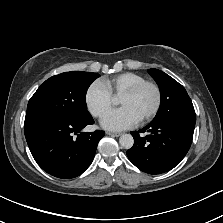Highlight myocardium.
I'll return each instance as SVG.
<instances>
[{"instance_id": "myocardium-1", "label": "myocardium", "mask_w": 223, "mask_h": 223, "mask_svg": "<svg viewBox=\"0 0 223 223\" xmlns=\"http://www.w3.org/2000/svg\"><path fill=\"white\" fill-rule=\"evenodd\" d=\"M144 87H150L153 90L154 95H155V101H154V105H153L152 109L150 110V112L148 114H146L145 116H143L142 118H140L139 119L140 121L149 120L157 114V112L160 108V105H161V92H160L158 85L152 81L144 80V81L136 84L134 87L127 90L120 96V97H132V96L136 95Z\"/></svg>"}]
</instances>
